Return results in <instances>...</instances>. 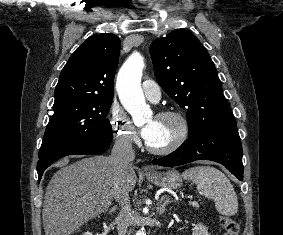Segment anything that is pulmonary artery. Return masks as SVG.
I'll return each instance as SVG.
<instances>
[{
    "mask_svg": "<svg viewBox=\"0 0 283 235\" xmlns=\"http://www.w3.org/2000/svg\"><path fill=\"white\" fill-rule=\"evenodd\" d=\"M142 91L145 97L152 101L158 102L161 98V90L156 82L150 79H146L142 82Z\"/></svg>",
    "mask_w": 283,
    "mask_h": 235,
    "instance_id": "obj_1",
    "label": "pulmonary artery"
}]
</instances>
